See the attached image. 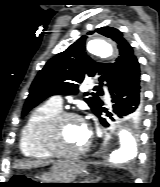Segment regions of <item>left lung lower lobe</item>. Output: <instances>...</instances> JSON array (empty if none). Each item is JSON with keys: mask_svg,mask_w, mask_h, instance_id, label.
Returning <instances> with one entry per match:
<instances>
[{"mask_svg": "<svg viewBox=\"0 0 160 187\" xmlns=\"http://www.w3.org/2000/svg\"><path fill=\"white\" fill-rule=\"evenodd\" d=\"M140 76V66L135 57L130 62L124 75L109 88L113 102L111 113L107 111L102 103L96 114L105 127L108 126V123L100 117L103 112L107 113L109 117L115 115L119 118L130 119L135 123L140 122L143 113V92Z\"/></svg>", "mask_w": 160, "mask_h": 187, "instance_id": "1", "label": "left lung lower lobe"}]
</instances>
